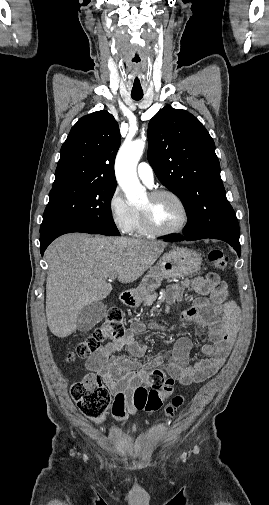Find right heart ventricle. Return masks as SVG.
Returning a JSON list of instances; mask_svg holds the SVG:
<instances>
[{"mask_svg": "<svg viewBox=\"0 0 269 505\" xmlns=\"http://www.w3.org/2000/svg\"><path fill=\"white\" fill-rule=\"evenodd\" d=\"M134 209H135V216H134V221H133L132 228H131L130 232L133 234H136V235H147L148 232L146 231V229L144 228V226L142 224L139 209L138 208H134Z\"/></svg>", "mask_w": 269, "mask_h": 505, "instance_id": "right-heart-ventricle-1", "label": "right heart ventricle"}]
</instances>
